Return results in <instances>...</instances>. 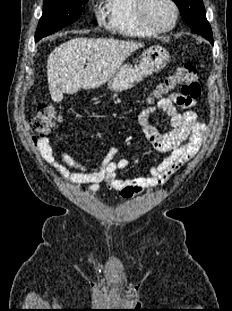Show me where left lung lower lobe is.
<instances>
[{
  "label": "left lung lower lobe",
  "instance_id": "1",
  "mask_svg": "<svg viewBox=\"0 0 232 311\" xmlns=\"http://www.w3.org/2000/svg\"><path fill=\"white\" fill-rule=\"evenodd\" d=\"M201 35H203V37L208 39L211 42V44H213L212 31L209 33L201 34Z\"/></svg>",
  "mask_w": 232,
  "mask_h": 311
}]
</instances>
